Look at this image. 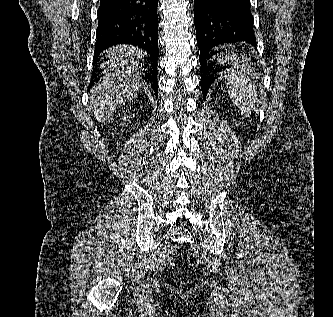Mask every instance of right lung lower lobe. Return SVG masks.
<instances>
[{"mask_svg": "<svg viewBox=\"0 0 333 317\" xmlns=\"http://www.w3.org/2000/svg\"><path fill=\"white\" fill-rule=\"evenodd\" d=\"M157 5L158 0H100L94 51V63H96L99 61V54L113 45L129 43L146 50L150 58L144 79L151 84L156 97L158 96ZM95 81H97L96 75L92 77L91 86Z\"/></svg>", "mask_w": 333, "mask_h": 317, "instance_id": "obj_1", "label": "right lung lower lobe"}]
</instances>
